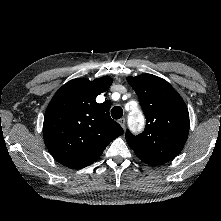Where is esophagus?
<instances>
[{
    "mask_svg": "<svg viewBox=\"0 0 221 221\" xmlns=\"http://www.w3.org/2000/svg\"><path fill=\"white\" fill-rule=\"evenodd\" d=\"M119 124L121 125V127H122L123 129H125L126 119H125V118H121V119L119 120Z\"/></svg>",
    "mask_w": 221,
    "mask_h": 221,
    "instance_id": "esophagus-1",
    "label": "esophagus"
}]
</instances>
